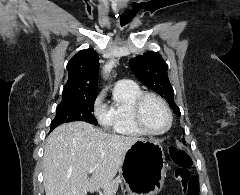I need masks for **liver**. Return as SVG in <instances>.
Instances as JSON below:
<instances>
[{
  "label": "liver",
  "mask_w": 240,
  "mask_h": 195,
  "mask_svg": "<svg viewBox=\"0 0 240 195\" xmlns=\"http://www.w3.org/2000/svg\"><path fill=\"white\" fill-rule=\"evenodd\" d=\"M142 137L116 135L86 121L55 127L46 139L43 175L46 195H86L117 189L127 149ZM90 167H96L88 177Z\"/></svg>",
  "instance_id": "liver-1"
}]
</instances>
